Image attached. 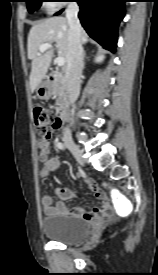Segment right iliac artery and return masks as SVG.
Here are the masks:
<instances>
[{
    "label": "right iliac artery",
    "instance_id": "obj_1",
    "mask_svg": "<svg viewBox=\"0 0 158 275\" xmlns=\"http://www.w3.org/2000/svg\"><path fill=\"white\" fill-rule=\"evenodd\" d=\"M57 147L60 148V149H65L64 144H62L61 142H59V143L57 144Z\"/></svg>",
    "mask_w": 158,
    "mask_h": 275
}]
</instances>
